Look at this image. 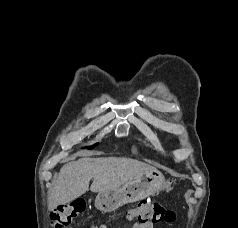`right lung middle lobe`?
<instances>
[{"label":"right lung middle lobe","mask_w":238,"mask_h":228,"mask_svg":"<svg viewBox=\"0 0 238 228\" xmlns=\"http://www.w3.org/2000/svg\"><path fill=\"white\" fill-rule=\"evenodd\" d=\"M96 145H97V144H95V145H93V146H90V147H88V149H92V148H94Z\"/></svg>","instance_id":"dd1d6c3e"}]
</instances>
